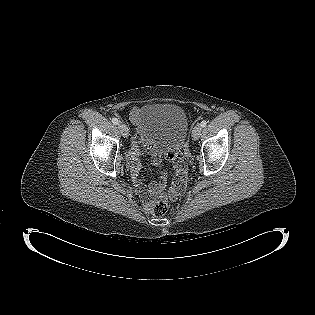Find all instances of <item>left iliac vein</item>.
I'll use <instances>...</instances> for the list:
<instances>
[{"mask_svg": "<svg viewBox=\"0 0 315 315\" xmlns=\"http://www.w3.org/2000/svg\"><path fill=\"white\" fill-rule=\"evenodd\" d=\"M201 132H202V127L201 125L197 124L194 128H193V131H192V137L197 140L199 139L200 135H201Z\"/></svg>", "mask_w": 315, "mask_h": 315, "instance_id": "obj_1", "label": "left iliac vein"}]
</instances>
